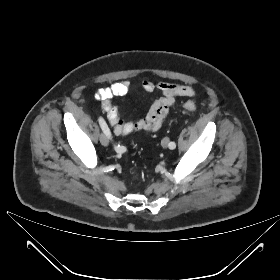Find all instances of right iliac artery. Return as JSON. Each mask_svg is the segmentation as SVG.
<instances>
[{
    "label": "right iliac artery",
    "instance_id": "1",
    "mask_svg": "<svg viewBox=\"0 0 280 280\" xmlns=\"http://www.w3.org/2000/svg\"><path fill=\"white\" fill-rule=\"evenodd\" d=\"M98 121H99V124H100V127H101L103 133H104L109 139L112 140L111 132H110V130H109V128H108V126H107L105 120H104L102 117H99ZM114 148H115V150L118 151V152H122V151H124V150L126 149L124 146H120V145H116V144H114Z\"/></svg>",
    "mask_w": 280,
    "mask_h": 280
}]
</instances>
